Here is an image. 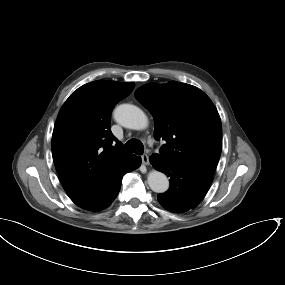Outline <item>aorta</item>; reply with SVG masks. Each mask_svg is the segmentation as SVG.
<instances>
[{"mask_svg": "<svg viewBox=\"0 0 285 285\" xmlns=\"http://www.w3.org/2000/svg\"><path fill=\"white\" fill-rule=\"evenodd\" d=\"M114 119L123 127L133 130H143L148 126V118L137 106L121 104L114 110ZM147 182L152 191L164 193L169 188V180L160 171L153 170L148 173Z\"/></svg>", "mask_w": 285, "mask_h": 285, "instance_id": "1", "label": "aorta"}]
</instances>
